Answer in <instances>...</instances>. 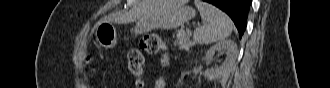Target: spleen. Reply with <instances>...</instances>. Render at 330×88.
Listing matches in <instances>:
<instances>
[{
	"mask_svg": "<svg viewBox=\"0 0 330 88\" xmlns=\"http://www.w3.org/2000/svg\"><path fill=\"white\" fill-rule=\"evenodd\" d=\"M195 5L201 17L206 22L194 31V41L198 44H211L229 37L233 30L232 20L217 7L195 0Z\"/></svg>",
	"mask_w": 330,
	"mask_h": 88,
	"instance_id": "obj_1",
	"label": "spleen"
}]
</instances>
